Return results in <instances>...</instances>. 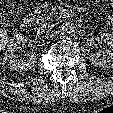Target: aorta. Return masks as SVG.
<instances>
[{
    "label": "aorta",
    "instance_id": "762f6f07",
    "mask_svg": "<svg viewBox=\"0 0 113 113\" xmlns=\"http://www.w3.org/2000/svg\"><path fill=\"white\" fill-rule=\"evenodd\" d=\"M76 30V25L71 21H65L60 26V34L65 38L72 37L75 34Z\"/></svg>",
    "mask_w": 113,
    "mask_h": 113
}]
</instances>
